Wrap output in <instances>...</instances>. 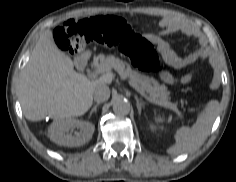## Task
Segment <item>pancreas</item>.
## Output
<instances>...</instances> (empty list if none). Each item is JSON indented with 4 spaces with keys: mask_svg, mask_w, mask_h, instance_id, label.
<instances>
[{
    "mask_svg": "<svg viewBox=\"0 0 236 182\" xmlns=\"http://www.w3.org/2000/svg\"><path fill=\"white\" fill-rule=\"evenodd\" d=\"M97 66L104 65L106 69L114 68L122 78H129L131 81L139 85L143 90L162 102H168L169 92L165 85L159 84L154 78L132 70L127 64L112 56L105 57L99 55L95 61Z\"/></svg>",
    "mask_w": 236,
    "mask_h": 182,
    "instance_id": "pancreas-1",
    "label": "pancreas"
}]
</instances>
